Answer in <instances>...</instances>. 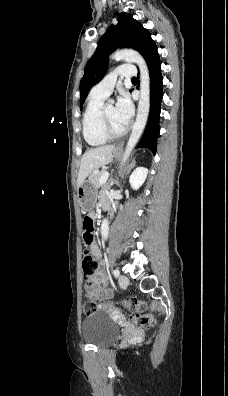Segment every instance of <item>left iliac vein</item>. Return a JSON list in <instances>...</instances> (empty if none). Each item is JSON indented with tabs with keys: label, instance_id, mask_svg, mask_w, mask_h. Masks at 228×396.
I'll use <instances>...</instances> for the list:
<instances>
[{
	"label": "left iliac vein",
	"instance_id": "obj_1",
	"mask_svg": "<svg viewBox=\"0 0 228 396\" xmlns=\"http://www.w3.org/2000/svg\"><path fill=\"white\" fill-rule=\"evenodd\" d=\"M119 284H120L121 287H126V286H128V284H129V279H128V277L125 276V275H121V276L119 277Z\"/></svg>",
	"mask_w": 228,
	"mask_h": 396
}]
</instances>
